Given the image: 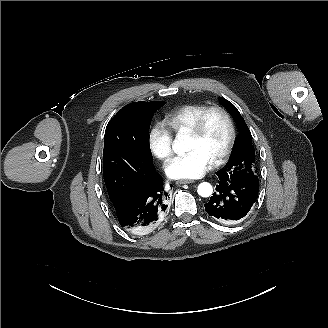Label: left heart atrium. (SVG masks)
<instances>
[{
  "label": "left heart atrium",
  "mask_w": 328,
  "mask_h": 328,
  "mask_svg": "<svg viewBox=\"0 0 328 328\" xmlns=\"http://www.w3.org/2000/svg\"><path fill=\"white\" fill-rule=\"evenodd\" d=\"M212 161L200 150H190L166 161V174L174 179H197L205 175L212 167Z\"/></svg>",
  "instance_id": "1"
}]
</instances>
